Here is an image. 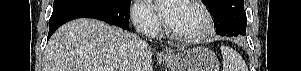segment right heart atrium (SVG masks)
I'll list each match as a JSON object with an SVG mask.
<instances>
[{"instance_id":"1","label":"right heart atrium","mask_w":301,"mask_h":71,"mask_svg":"<svg viewBox=\"0 0 301 71\" xmlns=\"http://www.w3.org/2000/svg\"><path fill=\"white\" fill-rule=\"evenodd\" d=\"M132 20L136 28L148 36L156 35L161 27L157 15L141 1L133 7Z\"/></svg>"}]
</instances>
